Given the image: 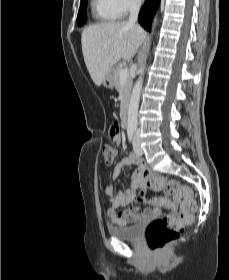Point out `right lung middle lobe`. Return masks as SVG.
Here are the masks:
<instances>
[{"label": "right lung middle lobe", "mask_w": 229, "mask_h": 280, "mask_svg": "<svg viewBox=\"0 0 229 280\" xmlns=\"http://www.w3.org/2000/svg\"><path fill=\"white\" fill-rule=\"evenodd\" d=\"M87 20V0H81V5L78 11L77 23L79 26L85 24Z\"/></svg>", "instance_id": "obj_1"}]
</instances>
